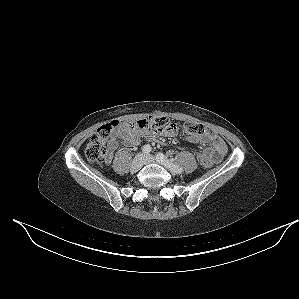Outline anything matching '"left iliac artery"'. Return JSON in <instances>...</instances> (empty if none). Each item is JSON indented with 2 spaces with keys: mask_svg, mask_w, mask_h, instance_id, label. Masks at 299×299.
Segmentation results:
<instances>
[{
  "mask_svg": "<svg viewBox=\"0 0 299 299\" xmlns=\"http://www.w3.org/2000/svg\"><path fill=\"white\" fill-rule=\"evenodd\" d=\"M156 159L161 162L164 163L171 171L175 172V173H182L183 169L181 167H179L178 165H176L173 162V159H168L163 153H157L156 154Z\"/></svg>",
  "mask_w": 299,
  "mask_h": 299,
  "instance_id": "left-iliac-artery-1",
  "label": "left iliac artery"
}]
</instances>
